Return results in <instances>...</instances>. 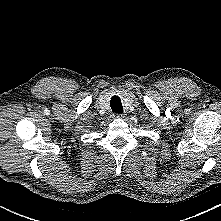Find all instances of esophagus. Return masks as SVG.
Listing matches in <instances>:
<instances>
[{"label": "esophagus", "instance_id": "obj_1", "mask_svg": "<svg viewBox=\"0 0 221 221\" xmlns=\"http://www.w3.org/2000/svg\"><path fill=\"white\" fill-rule=\"evenodd\" d=\"M113 117H114V118L122 119V118H124L125 116H124V114H122V113H116V114L113 115Z\"/></svg>", "mask_w": 221, "mask_h": 221}]
</instances>
